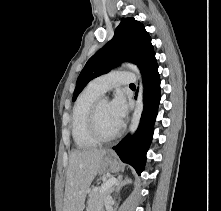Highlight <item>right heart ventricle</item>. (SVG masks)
<instances>
[{"mask_svg": "<svg viewBox=\"0 0 221 211\" xmlns=\"http://www.w3.org/2000/svg\"><path fill=\"white\" fill-rule=\"evenodd\" d=\"M102 93L90 84L78 96L71 119V133L78 148H90L97 145L87 129V117L92 104L101 97Z\"/></svg>", "mask_w": 221, "mask_h": 211, "instance_id": "1", "label": "right heart ventricle"}]
</instances>
